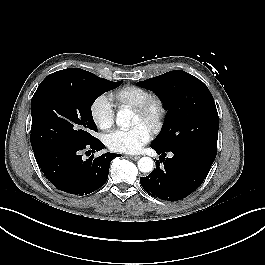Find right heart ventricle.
Instances as JSON below:
<instances>
[{
    "label": "right heart ventricle",
    "mask_w": 265,
    "mask_h": 265,
    "mask_svg": "<svg viewBox=\"0 0 265 265\" xmlns=\"http://www.w3.org/2000/svg\"><path fill=\"white\" fill-rule=\"evenodd\" d=\"M151 95V92L144 87L129 85L115 92L114 98L120 107H130L134 109Z\"/></svg>",
    "instance_id": "e07e8e85"
}]
</instances>
